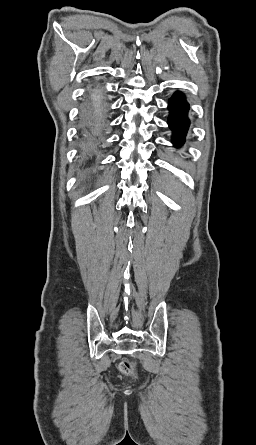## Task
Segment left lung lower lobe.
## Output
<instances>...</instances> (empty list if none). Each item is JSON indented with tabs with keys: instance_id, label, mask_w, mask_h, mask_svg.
<instances>
[{
	"instance_id": "left-lung-lower-lobe-1",
	"label": "left lung lower lobe",
	"mask_w": 256,
	"mask_h": 445,
	"mask_svg": "<svg viewBox=\"0 0 256 445\" xmlns=\"http://www.w3.org/2000/svg\"><path fill=\"white\" fill-rule=\"evenodd\" d=\"M169 119L168 124L172 129V142L175 147H181L185 141V136L189 127L187 113L189 105L185 100V96L181 92H176L169 100Z\"/></svg>"
}]
</instances>
